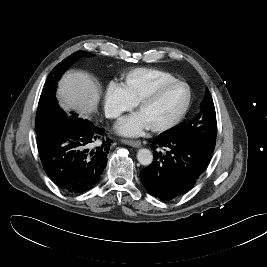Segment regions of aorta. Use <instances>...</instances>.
<instances>
[{
  "label": "aorta",
  "mask_w": 267,
  "mask_h": 267,
  "mask_svg": "<svg viewBox=\"0 0 267 267\" xmlns=\"http://www.w3.org/2000/svg\"><path fill=\"white\" fill-rule=\"evenodd\" d=\"M137 159L141 165L148 166L153 161V154L150 150L141 148L137 152Z\"/></svg>",
  "instance_id": "obj_1"
}]
</instances>
